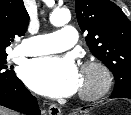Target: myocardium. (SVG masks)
I'll return each instance as SVG.
<instances>
[{
  "label": "myocardium",
  "instance_id": "obj_1",
  "mask_svg": "<svg viewBox=\"0 0 131 115\" xmlns=\"http://www.w3.org/2000/svg\"><path fill=\"white\" fill-rule=\"evenodd\" d=\"M95 71L98 74V82L94 87L81 88L79 98L84 101H94L104 96L112 86V73L110 69L100 60L90 59L82 64V74Z\"/></svg>",
  "mask_w": 131,
  "mask_h": 115
}]
</instances>
